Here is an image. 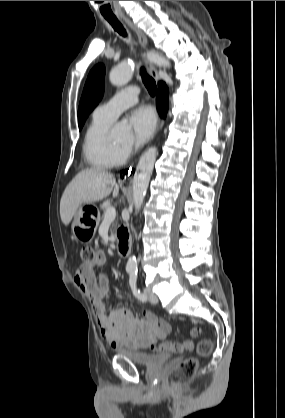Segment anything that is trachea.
<instances>
[{
	"instance_id": "obj_1",
	"label": "trachea",
	"mask_w": 285,
	"mask_h": 418,
	"mask_svg": "<svg viewBox=\"0 0 285 418\" xmlns=\"http://www.w3.org/2000/svg\"><path fill=\"white\" fill-rule=\"evenodd\" d=\"M105 18L112 25L114 30L117 31L120 35H122V36L127 35L125 29L122 26V24L118 21V19L116 17H105ZM140 74L142 76L143 83L146 86L149 94L151 96H155L156 93H157V86H156V83H155L154 79L146 73L144 67L141 68Z\"/></svg>"
}]
</instances>
